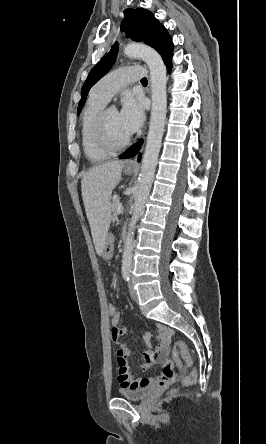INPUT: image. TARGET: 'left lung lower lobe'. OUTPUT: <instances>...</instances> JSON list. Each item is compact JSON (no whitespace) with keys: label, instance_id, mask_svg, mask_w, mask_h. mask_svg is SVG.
<instances>
[{"label":"left lung lower lobe","instance_id":"left-lung-lower-lobe-1","mask_svg":"<svg viewBox=\"0 0 266 444\" xmlns=\"http://www.w3.org/2000/svg\"><path fill=\"white\" fill-rule=\"evenodd\" d=\"M165 65L167 66L168 71H171V65H172L171 59L167 60L165 62ZM142 143H143V140H140L131 150H129L127 153L121 155L120 157L123 159H127V158L135 156L137 154V152L139 151ZM139 160H140V158H139Z\"/></svg>","mask_w":266,"mask_h":444}]
</instances>
